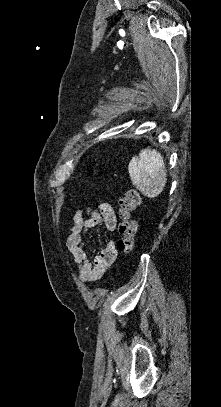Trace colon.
<instances>
[{
  "mask_svg": "<svg viewBox=\"0 0 221 407\" xmlns=\"http://www.w3.org/2000/svg\"><path fill=\"white\" fill-rule=\"evenodd\" d=\"M140 194L136 189H129L123 197L119 199L118 208V249L123 254H130L134 248L137 231L136 221L133 212L140 204Z\"/></svg>",
  "mask_w": 221,
  "mask_h": 407,
  "instance_id": "1",
  "label": "colon"
}]
</instances>
